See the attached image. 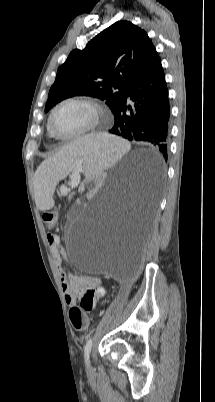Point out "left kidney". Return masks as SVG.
Wrapping results in <instances>:
<instances>
[{"instance_id":"1","label":"left kidney","mask_w":215,"mask_h":402,"mask_svg":"<svg viewBox=\"0 0 215 402\" xmlns=\"http://www.w3.org/2000/svg\"><path fill=\"white\" fill-rule=\"evenodd\" d=\"M106 172L104 169H97L93 175H87L85 184L82 186L83 193H95L97 187L101 186V179L104 178Z\"/></svg>"}]
</instances>
